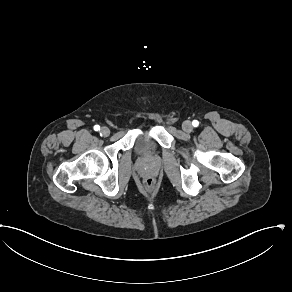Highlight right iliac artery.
Here are the masks:
<instances>
[{
	"label": "right iliac artery",
	"mask_w": 292,
	"mask_h": 292,
	"mask_svg": "<svg viewBox=\"0 0 292 292\" xmlns=\"http://www.w3.org/2000/svg\"><path fill=\"white\" fill-rule=\"evenodd\" d=\"M94 130H95V131L100 130V126H99V125H95V126H94Z\"/></svg>",
	"instance_id": "82829eb1"
}]
</instances>
